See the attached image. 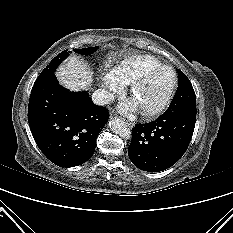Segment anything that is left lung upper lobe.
<instances>
[{
	"instance_id": "obj_1",
	"label": "left lung upper lobe",
	"mask_w": 233,
	"mask_h": 233,
	"mask_svg": "<svg viewBox=\"0 0 233 233\" xmlns=\"http://www.w3.org/2000/svg\"><path fill=\"white\" fill-rule=\"evenodd\" d=\"M177 73L179 77L177 92L167 110L178 112L196 110V96L191 82L179 69Z\"/></svg>"
}]
</instances>
